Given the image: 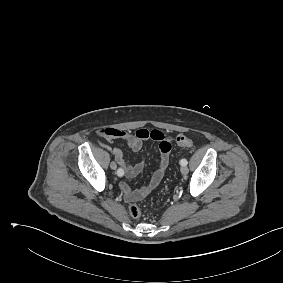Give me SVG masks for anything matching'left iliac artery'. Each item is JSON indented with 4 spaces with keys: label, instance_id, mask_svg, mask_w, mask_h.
<instances>
[{
    "label": "left iliac artery",
    "instance_id": "left-iliac-artery-1",
    "mask_svg": "<svg viewBox=\"0 0 283 283\" xmlns=\"http://www.w3.org/2000/svg\"><path fill=\"white\" fill-rule=\"evenodd\" d=\"M180 164H181L182 166H186V165L188 164V161H187L186 159H182V160L180 161Z\"/></svg>",
    "mask_w": 283,
    "mask_h": 283
}]
</instances>
